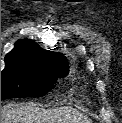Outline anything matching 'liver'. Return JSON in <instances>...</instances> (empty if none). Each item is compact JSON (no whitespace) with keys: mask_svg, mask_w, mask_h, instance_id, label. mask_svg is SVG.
<instances>
[{"mask_svg":"<svg viewBox=\"0 0 122 123\" xmlns=\"http://www.w3.org/2000/svg\"><path fill=\"white\" fill-rule=\"evenodd\" d=\"M2 116L4 123H91L72 108L45 110L36 104H8Z\"/></svg>","mask_w":122,"mask_h":123,"instance_id":"6515ba94","label":"liver"}]
</instances>
